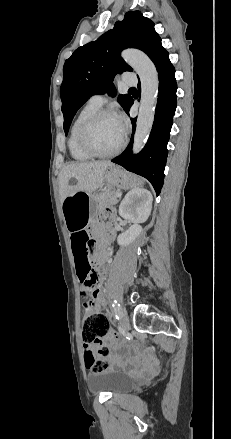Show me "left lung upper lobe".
Returning a JSON list of instances; mask_svg holds the SVG:
<instances>
[{
  "label": "left lung upper lobe",
  "instance_id": "left-lung-upper-lobe-1",
  "mask_svg": "<svg viewBox=\"0 0 231 439\" xmlns=\"http://www.w3.org/2000/svg\"><path fill=\"white\" fill-rule=\"evenodd\" d=\"M128 47L144 51L152 61L164 50L154 23L140 11L126 13L124 20L116 22L112 30L79 47L65 61L60 88L65 134L77 110L90 96L103 93L116 95L112 84L114 76L133 71L120 56V52ZM130 99L128 94L118 96L124 110Z\"/></svg>",
  "mask_w": 231,
  "mask_h": 439
}]
</instances>
